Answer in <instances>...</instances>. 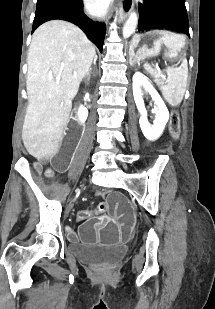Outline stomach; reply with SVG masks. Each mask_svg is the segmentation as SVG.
I'll return each mask as SVG.
<instances>
[{
	"mask_svg": "<svg viewBox=\"0 0 215 309\" xmlns=\"http://www.w3.org/2000/svg\"><path fill=\"white\" fill-rule=\"evenodd\" d=\"M186 37L165 29L135 34L130 42L129 60L139 63L162 53L165 58L177 59L185 55Z\"/></svg>",
	"mask_w": 215,
	"mask_h": 309,
	"instance_id": "obj_1",
	"label": "stomach"
}]
</instances>
